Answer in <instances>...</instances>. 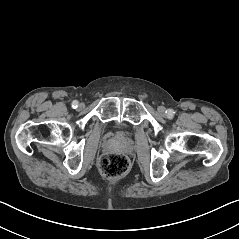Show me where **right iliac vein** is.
I'll use <instances>...</instances> for the list:
<instances>
[{
    "instance_id": "right-iliac-vein-1",
    "label": "right iliac vein",
    "mask_w": 239,
    "mask_h": 239,
    "mask_svg": "<svg viewBox=\"0 0 239 239\" xmlns=\"http://www.w3.org/2000/svg\"><path fill=\"white\" fill-rule=\"evenodd\" d=\"M83 107V104H80V108H82Z\"/></svg>"
}]
</instances>
